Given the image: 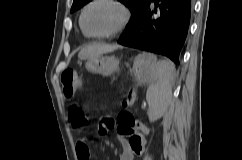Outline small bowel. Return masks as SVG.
Masks as SVG:
<instances>
[{
	"instance_id": "obj_1",
	"label": "small bowel",
	"mask_w": 242,
	"mask_h": 160,
	"mask_svg": "<svg viewBox=\"0 0 242 160\" xmlns=\"http://www.w3.org/2000/svg\"><path fill=\"white\" fill-rule=\"evenodd\" d=\"M70 119L74 125L78 126L71 116V111ZM136 127L137 130L133 129L130 132H123L113 119L107 117L102 120V129L105 132L115 129L119 134V140L122 145L120 160H134L136 156L142 155L145 150L146 127L141 123H137ZM76 151L78 160H90V145L87 140H80L77 143Z\"/></svg>"
}]
</instances>
